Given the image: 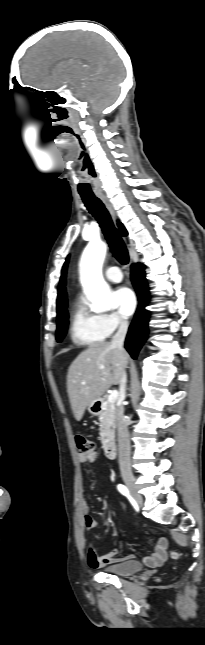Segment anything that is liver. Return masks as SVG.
I'll list each match as a JSON object with an SVG mask.
<instances>
[{"label":"liver","instance_id":"liver-1","mask_svg":"<svg viewBox=\"0 0 205 645\" xmlns=\"http://www.w3.org/2000/svg\"><path fill=\"white\" fill-rule=\"evenodd\" d=\"M128 361V354L110 342L91 344L77 356L67 374V392L77 421L106 390L120 384Z\"/></svg>","mask_w":205,"mask_h":645}]
</instances>
